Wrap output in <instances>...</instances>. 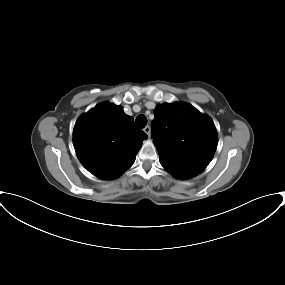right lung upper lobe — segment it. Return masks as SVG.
<instances>
[{
	"mask_svg": "<svg viewBox=\"0 0 285 285\" xmlns=\"http://www.w3.org/2000/svg\"><path fill=\"white\" fill-rule=\"evenodd\" d=\"M147 135L123 108L101 103L80 116L73 131L76 154L84 167L100 179L122 175L135 161Z\"/></svg>",
	"mask_w": 285,
	"mask_h": 285,
	"instance_id": "1",
	"label": "right lung upper lobe"
}]
</instances>
